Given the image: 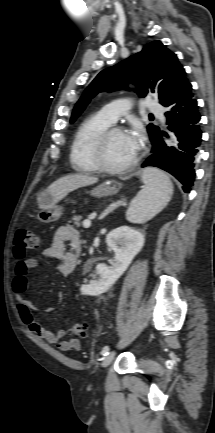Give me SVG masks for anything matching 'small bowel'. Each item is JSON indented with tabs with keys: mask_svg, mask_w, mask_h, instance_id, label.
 <instances>
[{
	"mask_svg": "<svg viewBox=\"0 0 215 433\" xmlns=\"http://www.w3.org/2000/svg\"><path fill=\"white\" fill-rule=\"evenodd\" d=\"M81 252V236L79 231L71 225L60 226L56 229L51 244L43 251L49 259H61L58 270L62 275L71 274L78 262ZM38 260L29 257L20 260L15 267V277L12 281V290L18 302L20 317L29 329L40 338L51 344H56L61 351L81 350V342L77 338L65 339L64 329L48 330L34 319L33 312L37 307L25 296L29 286L28 273L37 267Z\"/></svg>",
	"mask_w": 215,
	"mask_h": 433,
	"instance_id": "small-bowel-1",
	"label": "small bowel"
}]
</instances>
